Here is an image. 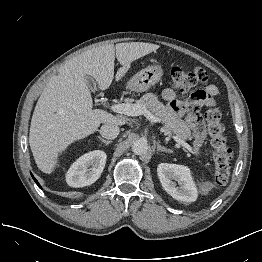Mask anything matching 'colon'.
Segmentation results:
<instances>
[{"label": "colon", "instance_id": "obj_1", "mask_svg": "<svg viewBox=\"0 0 262 262\" xmlns=\"http://www.w3.org/2000/svg\"><path fill=\"white\" fill-rule=\"evenodd\" d=\"M171 79L174 87L181 92H188L200 80L206 79V72L202 69L190 71L179 66L171 70ZM190 110L194 111L191 106ZM204 118L207 124V131L214 149L215 179L219 184L227 182L230 174V160L233 156L231 148L227 145L224 127L221 123V110L218 106L206 108Z\"/></svg>", "mask_w": 262, "mask_h": 262}]
</instances>
